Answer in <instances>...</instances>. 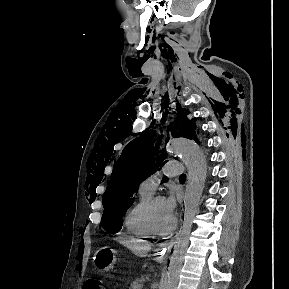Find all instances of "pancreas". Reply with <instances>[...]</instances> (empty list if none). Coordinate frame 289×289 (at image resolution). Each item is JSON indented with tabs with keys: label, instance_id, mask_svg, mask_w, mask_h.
Segmentation results:
<instances>
[{
	"label": "pancreas",
	"instance_id": "obj_1",
	"mask_svg": "<svg viewBox=\"0 0 289 289\" xmlns=\"http://www.w3.org/2000/svg\"><path fill=\"white\" fill-rule=\"evenodd\" d=\"M143 278L136 279L131 285L129 289H142Z\"/></svg>",
	"mask_w": 289,
	"mask_h": 289
}]
</instances>
